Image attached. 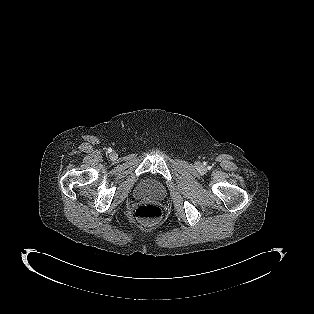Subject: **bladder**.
Returning a JSON list of instances; mask_svg holds the SVG:
<instances>
[{"mask_svg":"<svg viewBox=\"0 0 314 314\" xmlns=\"http://www.w3.org/2000/svg\"><path fill=\"white\" fill-rule=\"evenodd\" d=\"M140 192L148 197L161 198L164 194V187L160 182L146 181L141 185Z\"/></svg>","mask_w":314,"mask_h":314,"instance_id":"31cf9c89","label":"bladder"}]
</instances>
